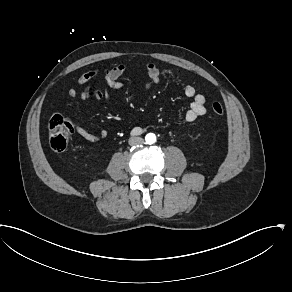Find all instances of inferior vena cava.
<instances>
[{
  "instance_id": "inferior-vena-cava-1",
  "label": "inferior vena cava",
  "mask_w": 292,
  "mask_h": 292,
  "mask_svg": "<svg viewBox=\"0 0 292 292\" xmlns=\"http://www.w3.org/2000/svg\"><path fill=\"white\" fill-rule=\"evenodd\" d=\"M128 143L131 146L142 145L144 143V140L141 137H130Z\"/></svg>"
}]
</instances>
